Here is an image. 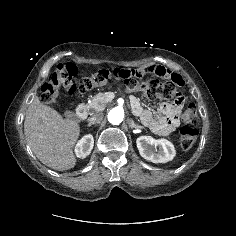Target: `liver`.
I'll return each instance as SVG.
<instances>
[{
  "mask_svg": "<svg viewBox=\"0 0 236 236\" xmlns=\"http://www.w3.org/2000/svg\"><path fill=\"white\" fill-rule=\"evenodd\" d=\"M24 133L36 157L46 166L64 171L76 165L73 153L79 135L78 122L63 119L53 108L33 98L28 106Z\"/></svg>",
  "mask_w": 236,
  "mask_h": 236,
  "instance_id": "1",
  "label": "liver"
}]
</instances>
